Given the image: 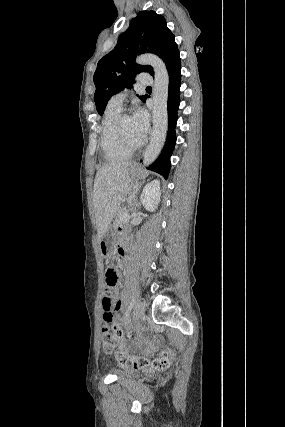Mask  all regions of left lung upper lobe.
Returning <instances> with one entry per match:
<instances>
[{"instance_id":"1","label":"left lung upper lobe","mask_w":285,"mask_h":427,"mask_svg":"<svg viewBox=\"0 0 285 427\" xmlns=\"http://www.w3.org/2000/svg\"><path fill=\"white\" fill-rule=\"evenodd\" d=\"M145 52L158 55L166 67L179 54L165 18L154 11H140L131 20L129 28L119 36L115 48L98 62L93 80L96 87L94 100L100 115L114 94L131 87L138 73L154 74L151 66L134 62L137 55ZM140 99L145 101L147 95L140 96Z\"/></svg>"}]
</instances>
